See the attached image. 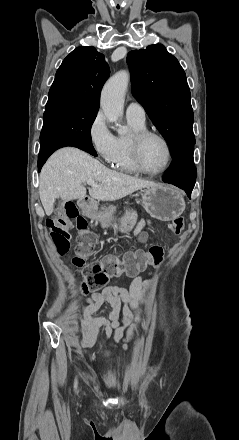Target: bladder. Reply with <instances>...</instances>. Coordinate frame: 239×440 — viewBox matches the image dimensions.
I'll use <instances>...</instances> for the list:
<instances>
[{"label": "bladder", "instance_id": "31cf9c89", "mask_svg": "<svg viewBox=\"0 0 239 440\" xmlns=\"http://www.w3.org/2000/svg\"><path fill=\"white\" fill-rule=\"evenodd\" d=\"M119 376H120V374L116 372V373H112V374H110V375H109V378H110V379H117V378H119Z\"/></svg>", "mask_w": 239, "mask_h": 440}]
</instances>
